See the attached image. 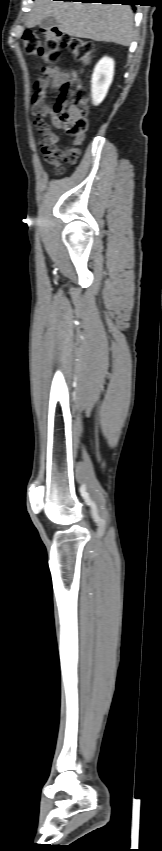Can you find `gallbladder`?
Segmentation results:
<instances>
[{
	"mask_svg": "<svg viewBox=\"0 0 162 851\" xmlns=\"http://www.w3.org/2000/svg\"><path fill=\"white\" fill-rule=\"evenodd\" d=\"M57 24H58V22H57L56 18L54 16H49V17L43 18L40 21L39 26L43 29H51V28L57 26Z\"/></svg>",
	"mask_w": 162,
	"mask_h": 851,
	"instance_id": "gallbladder-1",
	"label": "gallbladder"
}]
</instances>
